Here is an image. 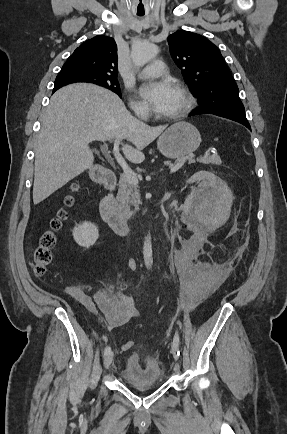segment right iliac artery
Masks as SVG:
<instances>
[{
	"label": "right iliac artery",
	"instance_id": "82829eb1",
	"mask_svg": "<svg viewBox=\"0 0 287 434\" xmlns=\"http://www.w3.org/2000/svg\"><path fill=\"white\" fill-rule=\"evenodd\" d=\"M110 350H111V348L109 346L105 347L104 352H103L104 356H106L110 352Z\"/></svg>",
	"mask_w": 287,
	"mask_h": 434
}]
</instances>
